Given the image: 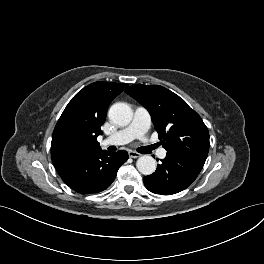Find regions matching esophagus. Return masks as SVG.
Wrapping results in <instances>:
<instances>
[{"instance_id": "34e87169", "label": "esophagus", "mask_w": 264, "mask_h": 264, "mask_svg": "<svg viewBox=\"0 0 264 264\" xmlns=\"http://www.w3.org/2000/svg\"><path fill=\"white\" fill-rule=\"evenodd\" d=\"M128 155H129V157H131V158H138V157H140V153H138V152H135V151H132V150H130L129 152H128Z\"/></svg>"}]
</instances>
